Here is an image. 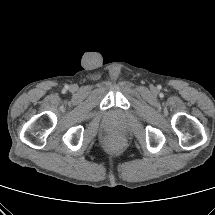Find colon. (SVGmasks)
Masks as SVG:
<instances>
[{
    "label": "colon",
    "mask_w": 215,
    "mask_h": 215,
    "mask_svg": "<svg viewBox=\"0 0 215 215\" xmlns=\"http://www.w3.org/2000/svg\"><path fill=\"white\" fill-rule=\"evenodd\" d=\"M110 144L111 145H116V142L115 141H111Z\"/></svg>",
    "instance_id": "obj_1"
}]
</instances>
